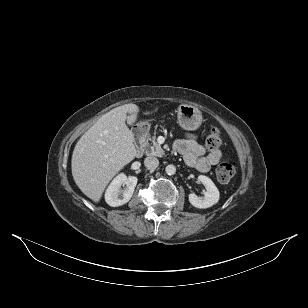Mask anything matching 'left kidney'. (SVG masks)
<instances>
[{
    "label": "left kidney",
    "instance_id": "1",
    "mask_svg": "<svg viewBox=\"0 0 308 308\" xmlns=\"http://www.w3.org/2000/svg\"><path fill=\"white\" fill-rule=\"evenodd\" d=\"M198 180L205 186L206 191L204 192V197H198L196 194L190 193L188 198L191 205L200 209L215 205L219 201V191L213 181L204 175H199Z\"/></svg>",
    "mask_w": 308,
    "mask_h": 308
}]
</instances>
